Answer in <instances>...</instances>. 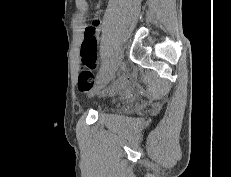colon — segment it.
<instances>
[{"mask_svg": "<svg viewBox=\"0 0 231 177\" xmlns=\"http://www.w3.org/2000/svg\"><path fill=\"white\" fill-rule=\"evenodd\" d=\"M97 35L93 28H88L84 35L80 56L82 66L78 76V87L81 91H89L94 86L93 71L96 68Z\"/></svg>", "mask_w": 231, "mask_h": 177, "instance_id": "5ec220e1", "label": "colon"}]
</instances>
